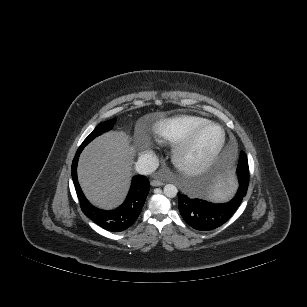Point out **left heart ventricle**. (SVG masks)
Masks as SVG:
<instances>
[{
	"label": "left heart ventricle",
	"mask_w": 307,
	"mask_h": 307,
	"mask_svg": "<svg viewBox=\"0 0 307 307\" xmlns=\"http://www.w3.org/2000/svg\"><path fill=\"white\" fill-rule=\"evenodd\" d=\"M220 139V131L211 127L206 129L197 139L193 149L186 155V160L196 161L209 154Z\"/></svg>",
	"instance_id": "b2bd125f"
}]
</instances>
